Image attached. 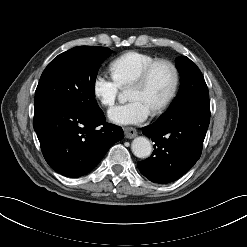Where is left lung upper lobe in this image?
<instances>
[{
  "mask_svg": "<svg viewBox=\"0 0 247 247\" xmlns=\"http://www.w3.org/2000/svg\"><path fill=\"white\" fill-rule=\"evenodd\" d=\"M181 76L178 95L167 111H181L199 98H209V91L199 68L186 56L175 60Z\"/></svg>",
  "mask_w": 247,
  "mask_h": 247,
  "instance_id": "obj_1",
  "label": "left lung upper lobe"
}]
</instances>
